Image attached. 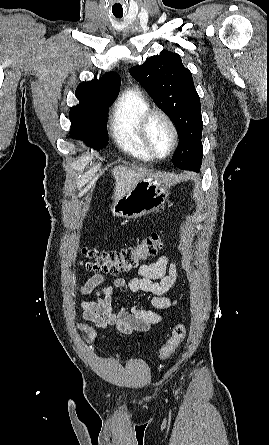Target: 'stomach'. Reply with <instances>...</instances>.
Here are the masks:
<instances>
[{"mask_svg":"<svg viewBox=\"0 0 269 445\" xmlns=\"http://www.w3.org/2000/svg\"><path fill=\"white\" fill-rule=\"evenodd\" d=\"M171 183L163 176L147 174L128 193L115 200L111 206L114 216L136 219L164 207Z\"/></svg>","mask_w":269,"mask_h":445,"instance_id":"stomach-1","label":"stomach"}]
</instances>
